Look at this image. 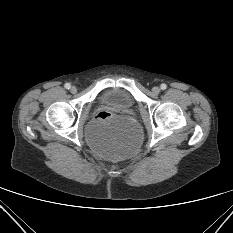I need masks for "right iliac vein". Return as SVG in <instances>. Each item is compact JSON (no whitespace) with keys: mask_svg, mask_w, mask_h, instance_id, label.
<instances>
[{"mask_svg":"<svg viewBox=\"0 0 233 233\" xmlns=\"http://www.w3.org/2000/svg\"><path fill=\"white\" fill-rule=\"evenodd\" d=\"M71 93L75 94L77 92V88L75 86H72L70 88Z\"/></svg>","mask_w":233,"mask_h":233,"instance_id":"1","label":"right iliac vein"}]
</instances>
